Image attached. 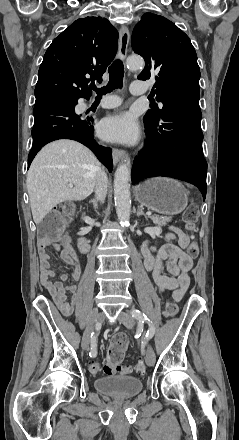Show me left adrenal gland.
<instances>
[{"label": "left adrenal gland", "instance_id": "obj_1", "mask_svg": "<svg viewBox=\"0 0 239 440\" xmlns=\"http://www.w3.org/2000/svg\"><path fill=\"white\" fill-rule=\"evenodd\" d=\"M137 216H138V218H139V216H144V218H146V220H147V216H146V214H144V212H143V210H141V208H138Z\"/></svg>", "mask_w": 239, "mask_h": 440}]
</instances>
